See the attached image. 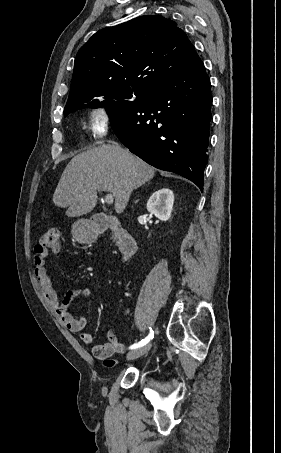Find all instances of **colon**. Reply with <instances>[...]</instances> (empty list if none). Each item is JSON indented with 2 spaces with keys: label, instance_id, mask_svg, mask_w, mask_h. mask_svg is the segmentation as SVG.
<instances>
[{
  "label": "colon",
  "instance_id": "obj_1",
  "mask_svg": "<svg viewBox=\"0 0 281 453\" xmlns=\"http://www.w3.org/2000/svg\"><path fill=\"white\" fill-rule=\"evenodd\" d=\"M59 232L60 228L58 226H48L46 229L45 235L40 241V246L38 249H46L47 256L45 260L50 255H57L60 252L59 245Z\"/></svg>",
  "mask_w": 281,
  "mask_h": 453
}]
</instances>
